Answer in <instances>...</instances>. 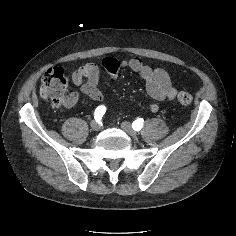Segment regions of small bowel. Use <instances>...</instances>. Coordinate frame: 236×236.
Returning a JSON list of instances; mask_svg holds the SVG:
<instances>
[{"mask_svg": "<svg viewBox=\"0 0 236 236\" xmlns=\"http://www.w3.org/2000/svg\"><path fill=\"white\" fill-rule=\"evenodd\" d=\"M103 65L110 74L111 79H115L118 70L121 68H129L138 73L145 81L146 91L148 95L155 101L172 100L176 95V88L173 86L168 73L162 68H153L138 57H131L121 62L115 58H105ZM73 83L79 86L80 93L90 97L95 101L103 100V94L98 89L99 67L95 63H86L80 66L71 74ZM79 94L71 93L66 100V107H72L78 101ZM149 110L153 113L159 110L157 102L149 105Z\"/></svg>", "mask_w": 236, "mask_h": 236, "instance_id": "c3829d8e", "label": "small bowel"}]
</instances>
